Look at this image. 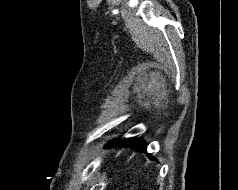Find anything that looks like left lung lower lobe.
<instances>
[{
    "label": "left lung lower lobe",
    "mask_w": 238,
    "mask_h": 190,
    "mask_svg": "<svg viewBox=\"0 0 238 190\" xmlns=\"http://www.w3.org/2000/svg\"><path fill=\"white\" fill-rule=\"evenodd\" d=\"M120 146V147H126V146H133L136 148L137 151L139 152H146L147 146L143 142L142 139L139 138H127V139H119L117 138L116 140H112L107 144V146ZM149 158L154 160L151 155H149Z\"/></svg>",
    "instance_id": "0a47b994"
}]
</instances>
